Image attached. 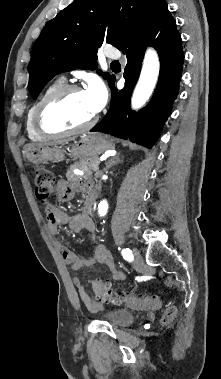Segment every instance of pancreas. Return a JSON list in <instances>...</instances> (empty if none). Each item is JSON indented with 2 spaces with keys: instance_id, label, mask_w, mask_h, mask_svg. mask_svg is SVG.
Segmentation results:
<instances>
[{
  "instance_id": "cf45deb5",
  "label": "pancreas",
  "mask_w": 221,
  "mask_h": 379,
  "mask_svg": "<svg viewBox=\"0 0 221 379\" xmlns=\"http://www.w3.org/2000/svg\"><path fill=\"white\" fill-rule=\"evenodd\" d=\"M99 166V161L96 159H82L78 162L72 164L69 170L66 173V177L69 181H78L81 176L75 174L73 171L75 169L81 170L84 173V176L92 175L93 171H97Z\"/></svg>"
}]
</instances>
